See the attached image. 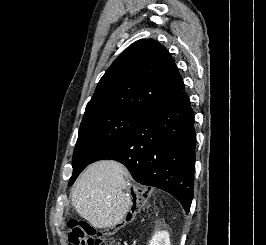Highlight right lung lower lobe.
<instances>
[{"mask_svg": "<svg viewBox=\"0 0 266 245\" xmlns=\"http://www.w3.org/2000/svg\"><path fill=\"white\" fill-rule=\"evenodd\" d=\"M195 145L194 112L183 90L147 112L92 163L103 159L121 162L137 182L170 193L188 213L193 199Z\"/></svg>", "mask_w": 266, "mask_h": 245, "instance_id": "98d812e1", "label": "right lung lower lobe"}]
</instances>
